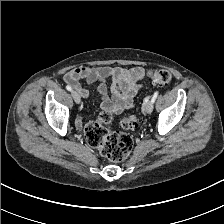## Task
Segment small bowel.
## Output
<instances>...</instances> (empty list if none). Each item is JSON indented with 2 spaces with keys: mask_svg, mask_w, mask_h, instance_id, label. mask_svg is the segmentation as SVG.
<instances>
[{
  "mask_svg": "<svg viewBox=\"0 0 224 224\" xmlns=\"http://www.w3.org/2000/svg\"><path fill=\"white\" fill-rule=\"evenodd\" d=\"M143 75L142 67L82 66L67 72L64 75V81L74 88L83 99L89 97V91L82 87L80 81L84 80L88 84L98 82L97 91L102 108L109 112L120 113L124 109L133 107L134 96L141 88L139 81ZM82 125L83 118L79 116L76 119V126L80 128Z\"/></svg>",
  "mask_w": 224,
  "mask_h": 224,
  "instance_id": "obj_1",
  "label": "small bowel"
}]
</instances>
